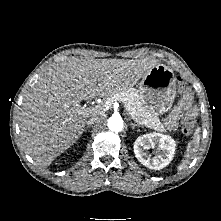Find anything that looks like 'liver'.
<instances>
[{"mask_svg": "<svg viewBox=\"0 0 221 221\" xmlns=\"http://www.w3.org/2000/svg\"><path fill=\"white\" fill-rule=\"evenodd\" d=\"M148 59H83L54 65L31 87L20 109V135L27 153L47 167L82 135L86 119L79 103L134 86L156 66ZM94 116V115H93Z\"/></svg>", "mask_w": 221, "mask_h": 221, "instance_id": "obj_1", "label": "liver"}]
</instances>
